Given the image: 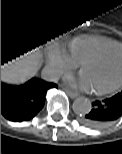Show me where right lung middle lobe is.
<instances>
[{
  "label": "right lung middle lobe",
  "instance_id": "1",
  "mask_svg": "<svg viewBox=\"0 0 122 154\" xmlns=\"http://www.w3.org/2000/svg\"><path fill=\"white\" fill-rule=\"evenodd\" d=\"M13 26L23 29L24 31L33 35L35 39H41V44L47 42V40H45V37L47 34H49V30L46 28L45 25L41 23L27 20H18L13 23Z\"/></svg>",
  "mask_w": 122,
  "mask_h": 154
}]
</instances>
